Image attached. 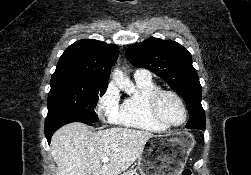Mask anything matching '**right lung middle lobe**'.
Masks as SVG:
<instances>
[{
	"label": "right lung middle lobe",
	"instance_id": "1",
	"mask_svg": "<svg viewBox=\"0 0 251 175\" xmlns=\"http://www.w3.org/2000/svg\"><path fill=\"white\" fill-rule=\"evenodd\" d=\"M50 85L46 120L78 116L85 120V124L96 122L97 115L94 107L98 95L102 96L107 86H93L58 79H51Z\"/></svg>",
	"mask_w": 251,
	"mask_h": 175
}]
</instances>
